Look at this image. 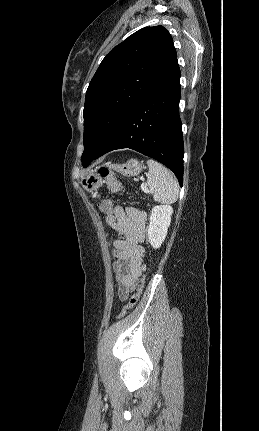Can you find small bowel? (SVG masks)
I'll return each mask as SVG.
<instances>
[{
  "label": "small bowel",
  "instance_id": "obj_1",
  "mask_svg": "<svg viewBox=\"0 0 259 431\" xmlns=\"http://www.w3.org/2000/svg\"><path fill=\"white\" fill-rule=\"evenodd\" d=\"M111 211L113 214L107 213L106 222L120 236L112 243L114 271L118 296L125 301L133 291L136 279L145 269L146 253L142 244L147 215L139 209L121 205H114Z\"/></svg>",
  "mask_w": 259,
  "mask_h": 431
}]
</instances>
